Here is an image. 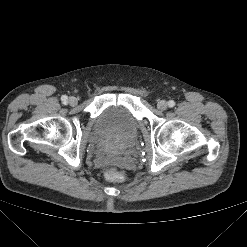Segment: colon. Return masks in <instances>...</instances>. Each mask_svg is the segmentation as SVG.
Segmentation results:
<instances>
[{"label":"colon","instance_id":"1","mask_svg":"<svg viewBox=\"0 0 247 247\" xmlns=\"http://www.w3.org/2000/svg\"><path fill=\"white\" fill-rule=\"evenodd\" d=\"M104 177L113 182H123L125 180V175L115 168H108L104 172Z\"/></svg>","mask_w":247,"mask_h":247}]
</instances>
